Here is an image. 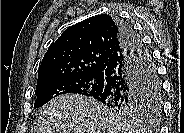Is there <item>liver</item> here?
Here are the masks:
<instances>
[{
    "label": "liver",
    "instance_id": "6515ba94",
    "mask_svg": "<svg viewBox=\"0 0 184 133\" xmlns=\"http://www.w3.org/2000/svg\"><path fill=\"white\" fill-rule=\"evenodd\" d=\"M141 126L120 118L93 98L60 95L42 107L38 133H144Z\"/></svg>",
    "mask_w": 184,
    "mask_h": 133
}]
</instances>
